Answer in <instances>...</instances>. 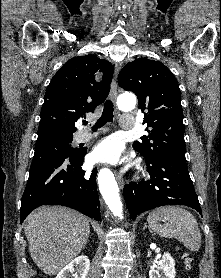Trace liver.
<instances>
[{
    "label": "liver",
    "mask_w": 221,
    "mask_h": 278,
    "mask_svg": "<svg viewBox=\"0 0 221 278\" xmlns=\"http://www.w3.org/2000/svg\"><path fill=\"white\" fill-rule=\"evenodd\" d=\"M24 232L34 263L56 275L84 249L90 234L88 219L61 206H42L25 220Z\"/></svg>",
    "instance_id": "6515ba94"
}]
</instances>
